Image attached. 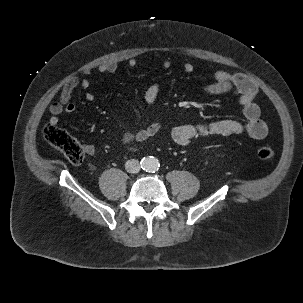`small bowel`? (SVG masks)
<instances>
[{"instance_id": "1", "label": "small bowel", "mask_w": 303, "mask_h": 303, "mask_svg": "<svg viewBox=\"0 0 303 303\" xmlns=\"http://www.w3.org/2000/svg\"><path fill=\"white\" fill-rule=\"evenodd\" d=\"M128 66L134 68L137 66V60L131 58L128 60ZM118 65L116 62H106L99 66L98 71L101 74H111L116 72ZM162 68L169 70L171 68L170 60L166 59L162 62ZM194 70L191 63H185L182 66L184 73L190 74ZM84 78H72L68 80L61 91L59 99L50 106V123L57 125L59 116L63 113H72L76 106L72 101L74 91L80 87L88 89L91 85L88 76L90 70L83 72ZM214 82L205 87V92L211 96H221L229 93H235L238 96V102L242 109V120H220L207 124H184L176 126L172 129L171 136L175 143L181 146L188 145L192 141L207 136H232L247 134L253 139H263L268 132L266 123L260 119V108L255 102L257 94L256 84L246 75L241 73H230L225 70H217L214 72ZM161 90V84L158 81L153 82L147 87L144 93V100L147 104L153 105ZM85 99L89 102L95 99L92 92L85 93ZM115 121L120 127H124V122L117 116ZM161 129L159 121H153L147 127L137 132L127 131L125 140H135L143 142L156 135ZM85 151L91 155L94 148L91 145L85 146Z\"/></svg>"}]
</instances>
